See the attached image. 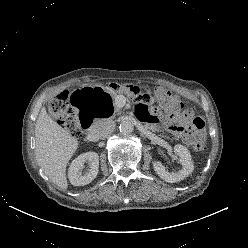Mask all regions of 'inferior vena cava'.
<instances>
[{"mask_svg": "<svg viewBox=\"0 0 248 248\" xmlns=\"http://www.w3.org/2000/svg\"><path fill=\"white\" fill-rule=\"evenodd\" d=\"M115 129V123L112 120H104L98 123L90 134L93 141L106 138Z\"/></svg>", "mask_w": 248, "mask_h": 248, "instance_id": "obj_1", "label": "inferior vena cava"}]
</instances>
